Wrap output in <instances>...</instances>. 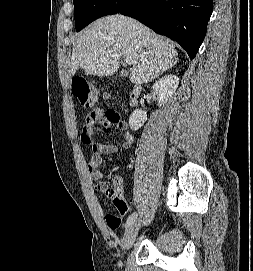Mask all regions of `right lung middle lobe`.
I'll return each instance as SVG.
<instances>
[{
	"label": "right lung middle lobe",
	"instance_id": "obj_1",
	"mask_svg": "<svg viewBox=\"0 0 253 271\" xmlns=\"http://www.w3.org/2000/svg\"><path fill=\"white\" fill-rule=\"evenodd\" d=\"M126 0H73L76 31L82 30L92 21L116 14Z\"/></svg>",
	"mask_w": 253,
	"mask_h": 271
}]
</instances>
